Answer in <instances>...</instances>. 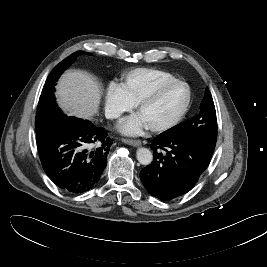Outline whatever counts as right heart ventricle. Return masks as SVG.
Wrapping results in <instances>:
<instances>
[{
	"mask_svg": "<svg viewBox=\"0 0 267 267\" xmlns=\"http://www.w3.org/2000/svg\"><path fill=\"white\" fill-rule=\"evenodd\" d=\"M123 87L135 104L141 97L152 91L160 84L176 79L169 72L154 68H136L127 71L122 76Z\"/></svg>",
	"mask_w": 267,
	"mask_h": 267,
	"instance_id": "e07e8e85",
	"label": "right heart ventricle"
}]
</instances>
